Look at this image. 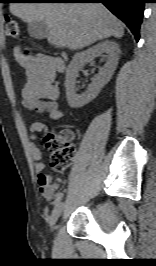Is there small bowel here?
Returning <instances> with one entry per match:
<instances>
[{
  "label": "small bowel",
  "mask_w": 156,
  "mask_h": 266,
  "mask_svg": "<svg viewBox=\"0 0 156 266\" xmlns=\"http://www.w3.org/2000/svg\"><path fill=\"white\" fill-rule=\"evenodd\" d=\"M14 57L24 68L27 79L22 92L23 106L30 111L46 113L52 120H63L64 113L58 104L60 88L55 81L57 61L43 54L24 56L19 48H15ZM39 133L46 136L49 128L43 122H33L30 126V153L41 195L47 201H52L61 181L44 171L45 164L42 162V153L37 145Z\"/></svg>",
  "instance_id": "small-bowel-1"
}]
</instances>
